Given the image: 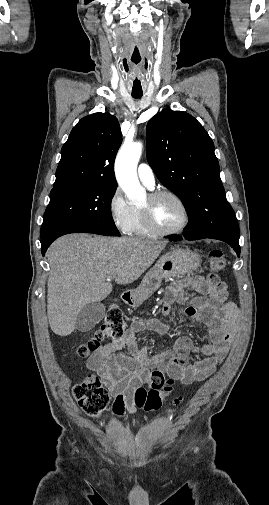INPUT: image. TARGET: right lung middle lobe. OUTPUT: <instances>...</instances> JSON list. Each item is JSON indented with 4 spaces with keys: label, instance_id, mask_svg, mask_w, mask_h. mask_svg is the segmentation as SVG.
<instances>
[{
    "label": "right lung middle lobe",
    "instance_id": "obj_1",
    "mask_svg": "<svg viewBox=\"0 0 269 505\" xmlns=\"http://www.w3.org/2000/svg\"><path fill=\"white\" fill-rule=\"evenodd\" d=\"M115 191V185L107 184L74 183L54 187L40 236L60 226L105 236H119L110 212Z\"/></svg>",
    "mask_w": 269,
    "mask_h": 505
}]
</instances>
